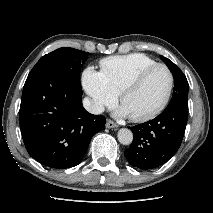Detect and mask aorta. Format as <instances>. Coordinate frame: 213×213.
Listing matches in <instances>:
<instances>
[{
    "label": "aorta",
    "mask_w": 213,
    "mask_h": 213,
    "mask_svg": "<svg viewBox=\"0 0 213 213\" xmlns=\"http://www.w3.org/2000/svg\"><path fill=\"white\" fill-rule=\"evenodd\" d=\"M118 141L123 145H129L133 141V133L127 128H122L117 134Z\"/></svg>",
    "instance_id": "762f6f07"
}]
</instances>
